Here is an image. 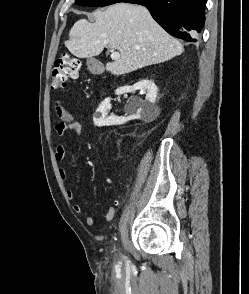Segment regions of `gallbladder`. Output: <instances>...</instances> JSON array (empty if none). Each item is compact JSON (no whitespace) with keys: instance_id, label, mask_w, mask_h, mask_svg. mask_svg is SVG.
<instances>
[{"instance_id":"gallbladder-1","label":"gallbladder","mask_w":249,"mask_h":294,"mask_svg":"<svg viewBox=\"0 0 249 294\" xmlns=\"http://www.w3.org/2000/svg\"><path fill=\"white\" fill-rule=\"evenodd\" d=\"M86 64H87V69L92 74L99 75L104 72L103 64L93 57L88 58Z\"/></svg>"}]
</instances>
